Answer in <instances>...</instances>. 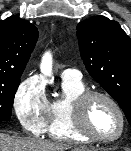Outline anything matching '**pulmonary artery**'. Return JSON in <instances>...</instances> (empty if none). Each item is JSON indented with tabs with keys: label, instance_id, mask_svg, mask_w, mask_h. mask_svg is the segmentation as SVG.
Returning <instances> with one entry per match:
<instances>
[{
	"label": "pulmonary artery",
	"instance_id": "1",
	"mask_svg": "<svg viewBox=\"0 0 131 151\" xmlns=\"http://www.w3.org/2000/svg\"><path fill=\"white\" fill-rule=\"evenodd\" d=\"M63 79H70V80H81V73L72 68H67L62 72Z\"/></svg>",
	"mask_w": 131,
	"mask_h": 151
}]
</instances>
